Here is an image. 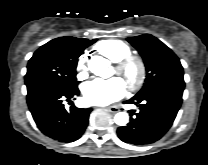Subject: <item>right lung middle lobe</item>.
<instances>
[{
	"label": "right lung middle lobe",
	"instance_id": "obj_1",
	"mask_svg": "<svg viewBox=\"0 0 208 165\" xmlns=\"http://www.w3.org/2000/svg\"><path fill=\"white\" fill-rule=\"evenodd\" d=\"M96 41L74 42L66 37L56 38L41 46L28 62L25 84L27 95L43 87L62 90L77 88L76 66L84 49Z\"/></svg>",
	"mask_w": 208,
	"mask_h": 165
}]
</instances>
